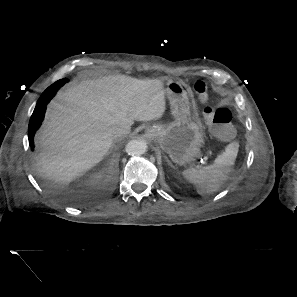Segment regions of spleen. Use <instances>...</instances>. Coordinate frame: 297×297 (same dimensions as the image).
I'll return each instance as SVG.
<instances>
[{
    "instance_id": "obj_1",
    "label": "spleen",
    "mask_w": 297,
    "mask_h": 297,
    "mask_svg": "<svg viewBox=\"0 0 297 297\" xmlns=\"http://www.w3.org/2000/svg\"><path fill=\"white\" fill-rule=\"evenodd\" d=\"M238 148V143H230L226 146L224 152L215 158L212 164L200 170L186 169L182 172L183 177L191 182L202 196L218 191L230 175L237 157Z\"/></svg>"
}]
</instances>
